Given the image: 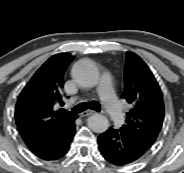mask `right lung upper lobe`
Returning a JSON list of instances; mask_svg holds the SVG:
<instances>
[{"instance_id": "obj_1", "label": "right lung upper lobe", "mask_w": 184, "mask_h": 173, "mask_svg": "<svg viewBox=\"0 0 184 173\" xmlns=\"http://www.w3.org/2000/svg\"><path fill=\"white\" fill-rule=\"evenodd\" d=\"M73 59L68 53L53 55L20 93L15 107V120L25 142L55 131L76 119V116L57 110L64 105V73Z\"/></svg>"}]
</instances>
